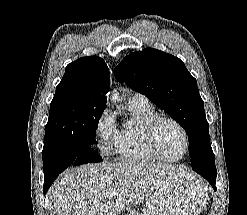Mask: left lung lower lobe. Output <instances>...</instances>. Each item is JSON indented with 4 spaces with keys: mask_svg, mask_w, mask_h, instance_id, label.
Wrapping results in <instances>:
<instances>
[{
    "mask_svg": "<svg viewBox=\"0 0 247 215\" xmlns=\"http://www.w3.org/2000/svg\"><path fill=\"white\" fill-rule=\"evenodd\" d=\"M192 169L203 176L212 185L213 189L216 190V167L215 158L211 149H205L201 152L198 159L191 164Z\"/></svg>",
    "mask_w": 247,
    "mask_h": 215,
    "instance_id": "1",
    "label": "left lung lower lobe"
}]
</instances>
